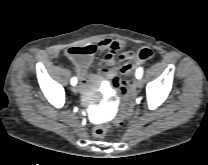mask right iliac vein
Returning a JSON list of instances; mask_svg holds the SVG:
<instances>
[{
  "label": "right iliac vein",
  "mask_w": 208,
  "mask_h": 165,
  "mask_svg": "<svg viewBox=\"0 0 208 165\" xmlns=\"http://www.w3.org/2000/svg\"><path fill=\"white\" fill-rule=\"evenodd\" d=\"M72 91H73L74 94H77V93L79 92L78 86H77V85H74V86L72 87Z\"/></svg>",
  "instance_id": "1"
}]
</instances>
